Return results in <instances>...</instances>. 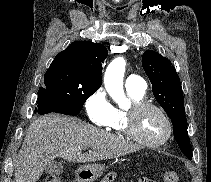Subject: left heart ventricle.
<instances>
[{
  "instance_id": "b2bd125f",
  "label": "left heart ventricle",
  "mask_w": 211,
  "mask_h": 182,
  "mask_svg": "<svg viewBox=\"0 0 211 182\" xmlns=\"http://www.w3.org/2000/svg\"><path fill=\"white\" fill-rule=\"evenodd\" d=\"M136 129L142 139L157 141L164 135L166 124L156 110L149 108L137 116Z\"/></svg>"
}]
</instances>
